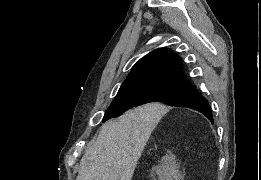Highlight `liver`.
Masks as SVG:
<instances>
[{
    "label": "liver",
    "mask_w": 261,
    "mask_h": 180,
    "mask_svg": "<svg viewBox=\"0 0 261 180\" xmlns=\"http://www.w3.org/2000/svg\"><path fill=\"white\" fill-rule=\"evenodd\" d=\"M161 104L128 110L103 124L87 148L76 180H132L137 162L156 126Z\"/></svg>",
    "instance_id": "liver-1"
}]
</instances>
